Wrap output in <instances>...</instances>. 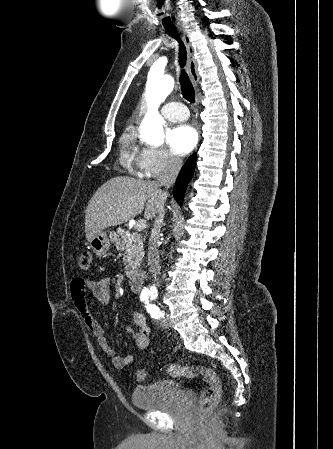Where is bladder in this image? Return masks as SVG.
<instances>
[{
    "label": "bladder",
    "instance_id": "bladder-1",
    "mask_svg": "<svg viewBox=\"0 0 333 449\" xmlns=\"http://www.w3.org/2000/svg\"><path fill=\"white\" fill-rule=\"evenodd\" d=\"M182 387L174 380H162L149 385L136 386L132 403L137 409L158 410L172 406L181 395Z\"/></svg>",
    "mask_w": 333,
    "mask_h": 449
}]
</instances>
